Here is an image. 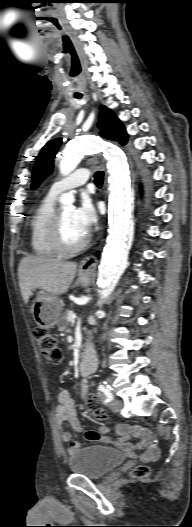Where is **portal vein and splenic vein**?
<instances>
[{
    "instance_id": "18ae733b",
    "label": "portal vein and splenic vein",
    "mask_w": 192,
    "mask_h": 527,
    "mask_svg": "<svg viewBox=\"0 0 192 527\" xmlns=\"http://www.w3.org/2000/svg\"><path fill=\"white\" fill-rule=\"evenodd\" d=\"M76 317L75 313L70 311L67 316L68 321H72Z\"/></svg>"
}]
</instances>
